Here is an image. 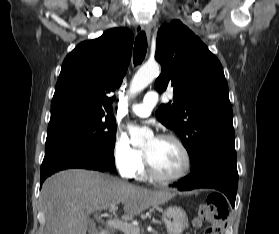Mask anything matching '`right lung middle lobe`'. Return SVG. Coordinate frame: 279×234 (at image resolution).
<instances>
[{
  "label": "right lung middle lobe",
  "mask_w": 279,
  "mask_h": 234,
  "mask_svg": "<svg viewBox=\"0 0 279 234\" xmlns=\"http://www.w3.org/2000/svg\"><path fill=\"white\" fill-rule=\"evenodd\" d=\"M115 138L116 120L110 113L84 109L51 111L45 156L66 147L79 148L114 171Z\"/></svg>",
  "instance_id": "1"
}]
</instances>
